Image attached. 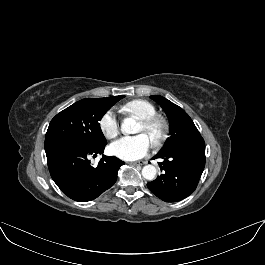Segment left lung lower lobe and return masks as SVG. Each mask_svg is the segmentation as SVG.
Returning a JSON list of instances; mask_svg holds the SVG:
<instances>
[{
    "label": "left lung lower lobe",
    "mask_w": 265,
    "mask_h": 265,
    "mask_svg": "<svg viewBox=\"0 0 265 265\" xmlns=\"http://www.w3.org/2000/svg\"><path fill=\"white\" fill-rule=\"evenodd\" d=\"M163 173L147 183L150 191L166 202L188 197L197 187L205 167V142L202 137L177 145L166 152H158L152 159Z\"/></svg>",
    "instance_id": "left-lung-lower-lobe-1"
}]
</instances>
